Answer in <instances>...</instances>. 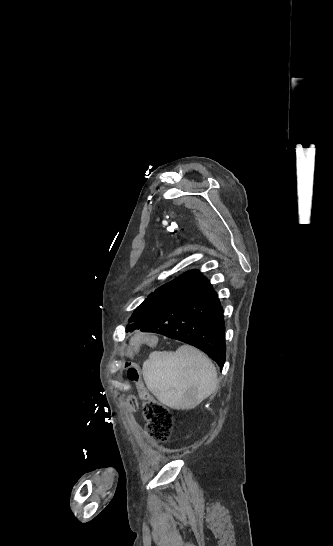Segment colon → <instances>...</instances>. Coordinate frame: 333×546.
I'll return each mask as SVG.
<instances>
[{"label":"colon","mask_w":333,"mask_h":546,"mask_svg":"<svg viewBox=\"0 0 333 546\" xmlns=\"http://www.w3.org/2000/svg\"><path fill=\"white\" fill-rule=\"evenodd\" d=\"M133 346L134 343L131 345L132 349ZM123 373L127 375L126 384L135 385L144 401L143 415L146 420L147 434L156 443H165L173 428V417L170 410L162 403L152 399L147 382L140 379V368L136 366L133 358H128L125 361ZM129 401L133 402V398H130Z\"/></svg>","instance_id":"1"}]
</instances>
